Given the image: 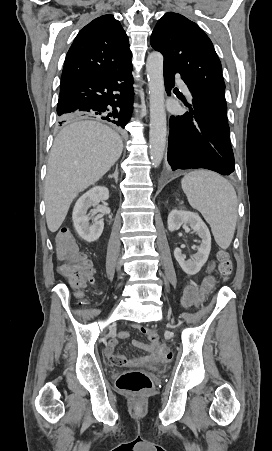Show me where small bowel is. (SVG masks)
<instances>
[{"label": "small bowel", "instance_id": "obj_1", "mask_svg": "<svg viewBox=\"0 0 272 451\" xmlns=\"http://www.w3.org/2000/svg\"><path fill=\"white\" fill-rule=\"evenodd\" d=\"M214 267H215L214 262H210L207 265L206 271L208 273H211L214 270ZM199 301H200V296H199L197 287L195 285H193V284L187 286V288L185 289L184 296H183V301H182L183 305L185 307H191V306L197 305L199 303ZM140 331L143 334H145L147 336V338H149L150 336H155L156 337V335L152 331H150V330H148V329H146L144 327H141ZM121 336L123 338H126V337L129 336V334L127 332H123L121 334ZM117 345H118V341L116 339H109L106 342V345H105V355H106V357L108 356V352H115V349H116ZM133 345L136 348L140 349V350L147 351V344H145V343H143L141 341H134ZM107 359H108V357H107Z\"/></svg>", "mask_w": 272, "mask_h": 451}]
</instances>
